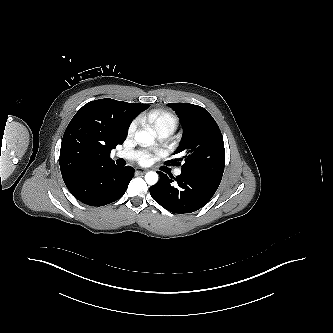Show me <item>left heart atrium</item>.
<instances>
[{
  "instance_id": "obj_1",
  "label": "left heart atrium",
  "mask_w": 333,
  "mask_h": 333,
  "mask_svg": "<svg viewBox=\"0 0 333 333\" xmlns=\"http://www.w3.org/2000/svg\"><path fill=\"white\" fill-rule=\"evenodd\" d=\"M151 159H152L151 156L149 154H147V153H141L139 155V162L141 164H147V163H149L151 161Z\"/></svg>"
}]
</instances>
